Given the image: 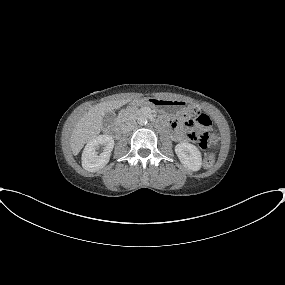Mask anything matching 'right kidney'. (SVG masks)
Listing matches in <instances>:
<instances>
[{
	"label": "right kidney",
	"mask_w": 285,
	"mask_h": 285,
	"mask_svg": "<svg viewBox=\"0 0 285 285\" xmlns=\"http://www.w3.org/2000/svg\"><path fill=\"white\" fill-rule=\"evenodd\" d=\"M102 148V153L96 151ZM114 147V140L109 135H99L90 140L82 153V166L85 170L96 172L103 168L110 159L111 151Z\"/></svg>",
	"instance_id": "obj_1"
}]
</instances>
